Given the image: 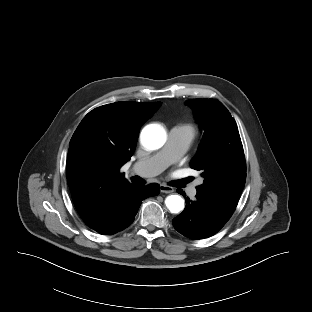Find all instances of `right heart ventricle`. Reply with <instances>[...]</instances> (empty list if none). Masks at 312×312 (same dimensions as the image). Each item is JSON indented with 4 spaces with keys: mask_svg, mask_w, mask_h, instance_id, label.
Listing matches in <instances>:
<instances>
[{
    "mask_svg": "<svg viewBox=\"0 0 312 312\" xmlns=\"http://www.w3.org/2000/svg\"><path fill=\"white\" fill-rule=\"evenodd\" d=\"M181 127L187 129L193 136L194 129H193V127L191 125H184V126H181Z\"/></svg>",
    "mask_w": 312,
    "mask_h": 312,
    "instance_id": "1",
    "label": "right heart ventricle"
}]
</instances>
